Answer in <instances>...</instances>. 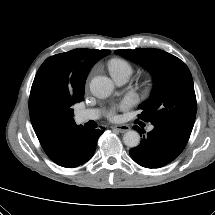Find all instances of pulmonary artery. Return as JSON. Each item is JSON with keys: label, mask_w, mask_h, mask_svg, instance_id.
<instances>
[{"label": "pulmonary artery", "mask_w": 215, "mask_h": 215, "mask_svg": "<svg viewBox=\"0 0 215 215\" xmlns=\"http://www.w3.org/2000/svg\"><path fill=\"white\" fill-rule=\"evenodd\" d=\"M115 83L119 86L124 85L128 81V77L126 76H121L117 78H113ZM100 117V111L98 109H86V110H81L76 114V121L78 123H83L87 122L89 120H96ZM149 130L153 129V126L150 125L148 127Z\"/></svg>", "instance_id": "1"}]
</instances>
